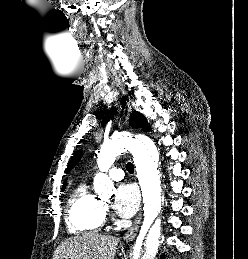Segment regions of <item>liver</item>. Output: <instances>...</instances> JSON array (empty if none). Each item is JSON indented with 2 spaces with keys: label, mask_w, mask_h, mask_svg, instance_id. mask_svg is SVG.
<instances>
[{
  "label": "liver",
  "mask_w": 248,
  "mask_h": 259,
  "mask_svg": "<svg viewBox=\"0 0 248 259\" xmlns=\"http://www.w3.org/2000/svg\"><path fill=\"white\" fill-rule=\"evenodd\" d=\"M118 243L114 236L87 233L66 239L52 259H114Z\"/></svg>",
  "instance_id": "liver-1"
}]
</instances>
